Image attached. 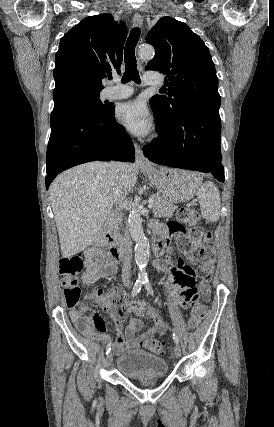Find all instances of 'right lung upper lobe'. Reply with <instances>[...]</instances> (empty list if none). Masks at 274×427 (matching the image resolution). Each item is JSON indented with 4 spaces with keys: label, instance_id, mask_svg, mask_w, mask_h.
Segmentation results:
<instances>
[{
    "label": "right lung upper lobe",
    "instance_id": "1",
    "mask_svg": "<svg viewBox=\"0 0 274 427\" xmlns=\"http://www.w3.org/2000/svg\"><path fill=\"white\" fill-rule=\"evenodd\" d=\"M125 23L111 14L89 16L60 40L55 55L54 105L71 95L96 94L104 88L102 79L120 73Z\"/></svg>",
    "mask_w": 274,
    "mask_h": 427
}]
</instances>
